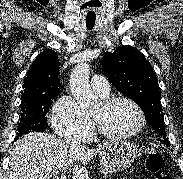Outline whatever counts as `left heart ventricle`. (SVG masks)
<instances>
[{
	"label": "left heart ventricle",
	"instance_id": "b2bd125f",
	"mask_svg": "<svg viewBox=\"0 0 183 179\" xmlns=\"http://www.w3.org/2000/svg\"><path fill=\"white\" fill-rule=\"evenodd\" d=\"M93 117L102 128L112 133L130 132L139 124L137 111L127 102H119L109 108L101 104Z\"/></svg>",
	"mask_w": 183,
	"mask_h": 179
}]
</instances>
